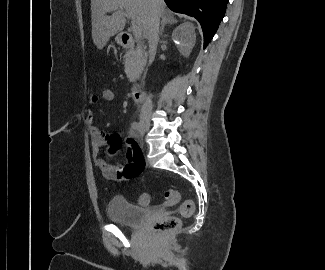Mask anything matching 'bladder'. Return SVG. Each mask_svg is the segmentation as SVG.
I'll use <instances>...</instances> for the list:
<instances>
[{"label":"bladder","mask_w":325,"mask_h":270,"mask_svg":"<svg viewBox=\"0 0 325 270\" xmlns=\"http://www.w3.org/2000/svg\"><path fill=\"white\" fill-rule=\"evenodd\" d=\"M107 214L108 219L114 223L137 228L150 217L151 211L115 195L108 203Z\"/></svg>","instance_id":"1"}]
</instances>
